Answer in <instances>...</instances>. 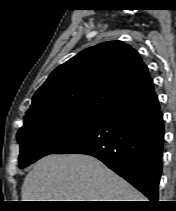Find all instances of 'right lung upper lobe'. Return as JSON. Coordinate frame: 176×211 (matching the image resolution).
Here are the masks:
<instances>
[{"mask_svg": "<svg viewBox=\"0 0 176 211\" xmlns=\"http://www.w3.org/2000/svg\"><path fill=\"white\" fill-rule=\"evenodd\" d=\"M155 96L139 53L121 41H109L57 67L34 94L26 116L46 109L107 116Z\"/></svg>", "mask_w": 176, "mask_h": 211, "instance_id": "1", "label": "right lung upper lobe"}]
</instances>
